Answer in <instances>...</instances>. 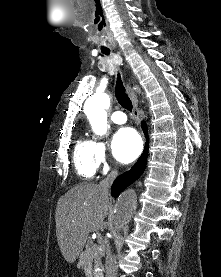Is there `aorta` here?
<instances>
[{"label": "aorta", "instance_id": "762f6f07", "mask_svg": "<svg viewBox=\"0 0 221 277\" xmlns=\"http://www.w3.org/2000/svg\"><path fill=\"white\" fill-rule=\"evenodd\" d=\"M110 106V97L107 93H96L88 99L85 113L91 124L92 130L97 135L107 132L106 109ZM137 206L136 193L132 189L124 191L116 201V212L114 215L111 231L120 230L133 216Z\"/></svg>", "mask_w": 221, "mask_h": 277}]
</instances>
